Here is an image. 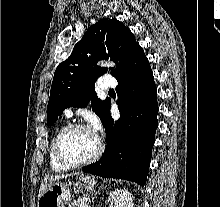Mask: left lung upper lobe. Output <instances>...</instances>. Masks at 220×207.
Listing matches in <instances>:
<instances>
[{"mask_svg":"<svg viewBox=\"0 0 220 207\" xmlns=\"http://www.w3.org/2000/svg\"><path fill=\"white\" fill-rule=\"evenodd\" d=\"M138 45L128 27L116 19H101L85 32L71 55L55 70L47 107V125L53 124L64 109L86 107L91 100L92 110L103 122L110 99L101 101L95 93V81L107 71L96 66L100 59L115 61L116 77Z\"/></svg>","mask_w":220,"mask_h":207,"instance_id":"obj_1","label":"left lung upper lobe"}]
</instances>
